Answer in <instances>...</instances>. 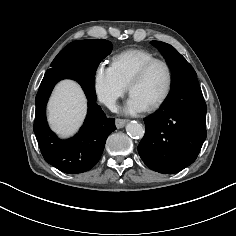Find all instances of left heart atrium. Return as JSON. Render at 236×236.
Instances as JSON below:
<instances>
[{
  "label": "left heart atrium",
  "instance_id": "39dd6f15",
  "mask_svg": "<svg viewBox=\"0 0 236 236\" xmlns=\"http://www.w3.org/2000/svg\"><path fill=\"white\" fill-rule=\"evenodd\" d=\"M148 106L136 95L131 94L126 106H125V112L128 114H137L144 112Z\"/></svg>",
  "mask_w": 236,
  "mask_h": 236
}]
</instances>
